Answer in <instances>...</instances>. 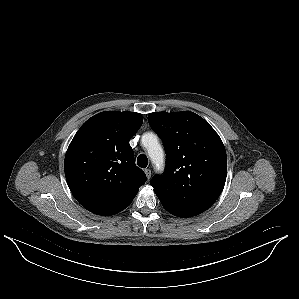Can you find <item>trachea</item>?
I'll return each instance as SVG.
<instances>
[{"label": "trachea", "mask_w": 299, "mask_h": 299, "mask_svg": "<svg viewBox=\"0 0 299 299\" xmlns=\"http://www.w3.org/2000/svg\"><path fill=\"white\" fill-rule=\"evenodd\" d=\"M137 164L141 168H146L148 165V158L144 154H140L137 158Z\"/></svg>", "instance_id": "3493384b"}]
</instances>
